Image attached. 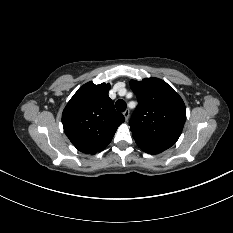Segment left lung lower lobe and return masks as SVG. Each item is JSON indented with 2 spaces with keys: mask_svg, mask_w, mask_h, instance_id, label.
Segmentation results:
<instances>
[{
  "mask_svg": "<svg viewBox=\"0 0 233 233\" xmlns=\"http://www.w3.org/2000/svg\"><path fill=\"white\" fill-rule=\"evenodd\" d=\"M137 145L146 153L158 154L170 148L173 144L160 141H148L137 143Z\"/></svg>",
  "mask_w": 233,
  "mask_h": 233,
  "instance_id": "left-lung-lower-lobe-1",
  "label": "left lung lower lobe"
}]
</instances>
